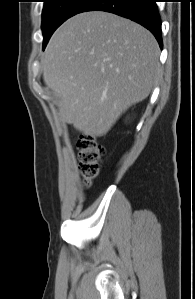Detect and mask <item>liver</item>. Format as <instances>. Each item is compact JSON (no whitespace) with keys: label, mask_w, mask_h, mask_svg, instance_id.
Instances as JSON below:
<instances>
[{"label":"liver","mask_w":195,"mask_h":299,"mask_svg":"<svg viewBox=\"0 0 195 299\" xmlns=\"http://www.w3.org/2000/svg\"><path fill=\"white\" fill-rule=\"evenodd\" d=\"M159 46L139 24L92 11L65 21L41 60L43 80L64 122L103 136L160 75Z\"/></svg>","instance_id":"1"}]
</instances>
